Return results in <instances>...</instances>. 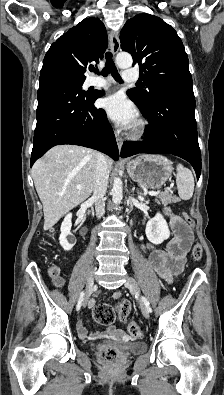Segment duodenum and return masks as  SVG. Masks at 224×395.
Masks as SVG:
<instances>
[{
  "label": "duodenum",
  "mask_w": 224,
  "mask_h": 395,
  "mask_svg": "<svg viewBox=\"0 0 224 395\" xmlns=\"http://www.w3.org/2000/svg\"><path fill=\"white\" fill-rule=\"evenodd\" d=\"M86 215H87V211H86V212H84V213L81 215V217H82V218H85V217H86Z\"/></svg>",
  "instance_id": "1"
}]
</instances>
